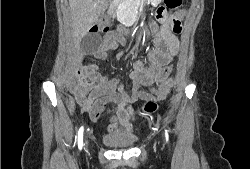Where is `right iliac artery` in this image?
I'll return each mask as SVG.
<instances>
[{
  "instance_id": "82829eb1",
  "label": "right iliac artery",
  "mask_w": 250,
  "mask_h": 169,
  "mask_svg": "<svg viewBox=\"0 0 250 169\" xmlns=\"http://www.w3.org/2000/svg\"><path fill=\"white\" fill-rule=\"evenodd\" d=\"M83 145V127L79 129L78 132V147L81 150Z\"/></svg>"
}]
</instances>
